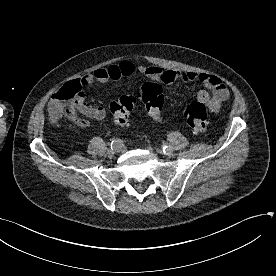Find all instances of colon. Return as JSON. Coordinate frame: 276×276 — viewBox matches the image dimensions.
I'll return each mask as SVG.
<instances>
[{
  "label": "colon",
  "mask_w": 276,
  "mask_h": 276,
  "mask_svg": "<svg viewBox=\"0 0 276 276\" xmlns=\"http://www.w3.org/2000/svg\"><path fill=\"white\" fill-rule=\"evenodd\" d=\"M82 86L78 80L70 81L58 89L50 102L51 113L54 117L62 114L70 115L78 98L82 95ZM139 99L144 103L149 116L158 123H165L167 118L162 114L163 94L162 88L156 82L145 83L140 92ZM137 99L132 95L122 96L118 101L111 103L110 111L114 122L119 127L129 124L130 114L136 105ZM183 120L196 133L207 130L208 118L206 106L199 102H190L185 106Z\"/></svg>",
  "instance_id": "5ec220e1"
}]
</instances>
